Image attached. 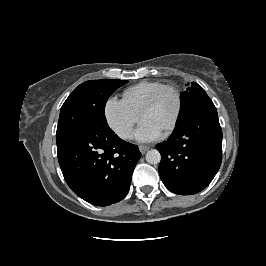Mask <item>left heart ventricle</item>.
<instances>
[{"instance_id":"left-heart-ventricle-1","label":"left heart ventricle","mask_w":266,"mask_h":266,"mask_svg":"<svg viewBox=\"0 0 266 266\" xmlns=\"http://www.w3.org/2000/svg\"><path fill=\"white\" fill-rule=\"evenodd\" d=\"M177 109V98L172 90H164L156 102L144 114L147 119L164 130L174 118Z\"/></svg>"}]
</instances>
